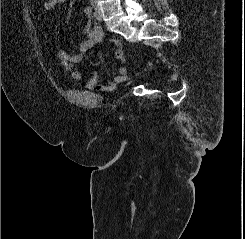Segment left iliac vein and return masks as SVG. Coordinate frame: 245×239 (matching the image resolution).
<instances>
[{
	"instance_id": "obj_1",
	"label": "left iliac vein",
	"mask_w": 245,
	"mask_h": 239,
	"mask_svg": "<svg viewBox=\"0 0 245 239\" xmlns=\"http://www.w3.org/2000/svg\"><path fill=\"white\" fill-rule=\"evenodd\" d=\"M96 13L99 17H101V13H100V10L98 8H96Z\"/></svg>"
}]
</instances>
